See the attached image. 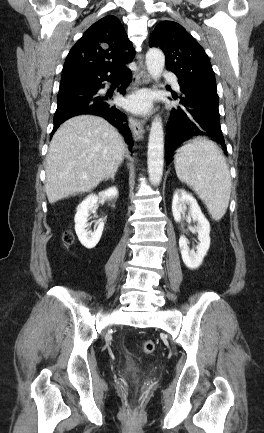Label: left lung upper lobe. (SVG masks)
Segmentation results:
<instances>
[{
	"mask_svg": "<svg viewBox=\"0 0 264 433\" xmlns=\"http://www.w3.org/2000/svg\"><path fill=\"white\" fill-rule=\"evenodd\" d=\"M149 44L163 50L166 67L177 75L180 84L217 90L207 54L180 24L173 21L160 22L151 34Z\"/></svg>",
	"mask_w": 264,
	"mask_h": 433,
	"instance_id": "left-lung-upper-lobe-1",
	"label": "left lung upper lobe"
}]
</instances>
